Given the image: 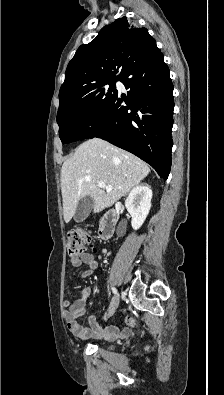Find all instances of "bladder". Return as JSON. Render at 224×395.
I'll use <instances>...</instances> for the list:
<instances>
[{
  "instance_id": "1",
  "label": "bladder",
  "mask_w": 224,
  "mask_h": 395,
  "mask_svg": "<svg viewBox=\"0 0 224 395\" xmlns=\"http://www.w3.org/2000/svg\"><path fill=\"white\" fill-rule=\"evenodd\" d=\"M104 347H105V348H111V347H110V346H108V345H104Z\"/></svg>"
}]
</instances>
